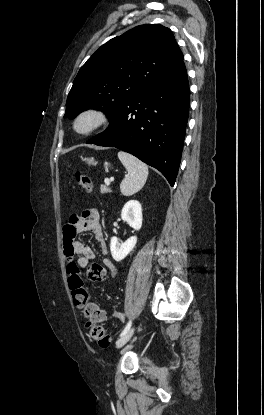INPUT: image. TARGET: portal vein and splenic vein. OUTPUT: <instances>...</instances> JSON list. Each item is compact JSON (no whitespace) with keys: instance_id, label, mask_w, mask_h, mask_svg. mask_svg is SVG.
I'll list each match as a JSON object with an SVG mask.
<instances>
[{"instance_id":"1","label":"portal vein and splenic vein","mask_w":264,"mask_h":415,"mask_svg":"<svg viewBox=\"0 0 264 415\" xmlns=\"http://www.w3.org/2000/svg\"><path fill=\"white\" fill-rule=\"evenodd\" d=\"M110 182H111V181H110L109 179H105V184H106V185H110Z\"/></svg>"}]
</instances>
